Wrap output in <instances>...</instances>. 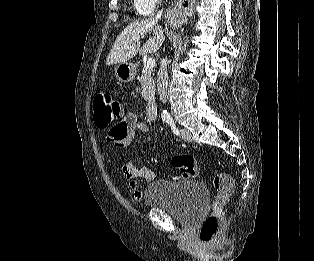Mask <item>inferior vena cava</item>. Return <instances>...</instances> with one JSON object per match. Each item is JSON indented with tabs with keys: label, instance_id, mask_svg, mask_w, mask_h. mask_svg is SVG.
Listing matches in <instances>:
<instances>
[{
	"label": "inferior vena cava",
	"instance_id": "obj_1",
	"mask_svg": "<svg viewBox=\"0 0 314 261\" xmlns=\"http://www.w3.org/2000/svg\"><path fill=\"white\" fill-rule=\"evenodd\" d=\"M161 17V13H158L156 19ZM167 87H168V71H167V63L163 62L160 65L159 71L157 73V89L160 100L163 103L167 101Z\"/></svg>",
	"mask_w": 314,
	"mask_h": 261
}]
</instances>
